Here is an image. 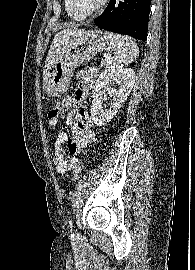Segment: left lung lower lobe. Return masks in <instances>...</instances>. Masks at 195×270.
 <instances>
[{
    "mask_svg": "<svg viewBox=\"0 0 195 270\" xmlns=\"http://www.w3.org/2000/svg\"><path fill=\"white\" fill-rule=\"evenodd\" d=\"M151 0H110L105 11L94 20L101 29L147 39Z\"/></svg>",
    "mask_w": 195,
    "mask_h": 270,
    "instance_id": "left-lung-lower-lobe-1",
    "label": "left lung lower lobe"
}]
</instances>
